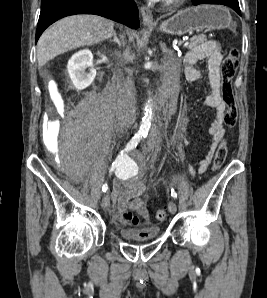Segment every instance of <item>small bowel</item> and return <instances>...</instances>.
<instances>
[{
    "label": "small bowel",
    "instance_id": "small-bowel-1",
    "mask_svg": "<svg viewBox=\"0 0 267 298\" xmlns=\"http://www.w3.org/2000/svg\"><path fill=\"white\" fill-rule=\"evenodd\" d=\"M204 58L208 60V78L211 88L205 102L209 107L215 109L216 113L215 118L209 127L211 144L208 154L199 163L197 168L200 173L206 171L213 157L216 144L224 135V123L226 122L225 117L227 110L226 104L221 95L220 64L222 62L223 55L216 42L206 41L197 45L185 54V77L190 82L198 80L201 77V73L195 67V64ZM170 111H175L174 105H171ZM141 195L142 197H140ZM113 198L116 202V207L119 213L131 210L139 214L142 218L147 219L148 210L146 208V200L148 198V191L146 185L140 180L134 178L128 181L124 190H121L119 184H115L113 188ZM151 232L152 228H143L138 231V233L143 236L149 235Z\"/></svg>",
    "mask_w": 267,
    "mask_h": 298
}]
</instances>
